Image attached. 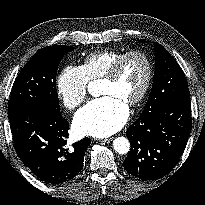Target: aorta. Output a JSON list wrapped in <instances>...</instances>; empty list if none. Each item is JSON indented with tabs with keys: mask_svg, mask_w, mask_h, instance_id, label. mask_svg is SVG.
<instances>
[{
	"mask_svg": "<svg viewBox=\"0 0 205 205\" xmlns=\"http://www.w3.org/2000/svg\"><path fill=\"white\" fill-rule=\"evenodd\" d=\"M113 148L118 154H127L130 150L129 140L125 137H117L113 142Z\"/></svg>",
	"mask_w": 205,
	"mask_h": 205,
	"instance_id": "aorta-1",
	"label": "aorta"
}]
</instances>
